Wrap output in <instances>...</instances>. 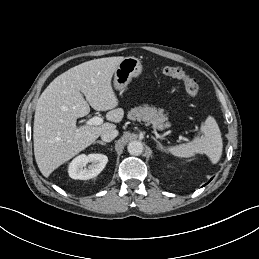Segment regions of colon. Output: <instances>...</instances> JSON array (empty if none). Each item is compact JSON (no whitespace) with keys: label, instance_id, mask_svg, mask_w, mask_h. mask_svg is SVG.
Returning <instances> with one entry per match:
<instances>
[{"label":"colon","instance_id":"obj_1","mask_svg":"<svg viewBox=\"0 0 259 259\" xmlns=\"http://www.w3.org/2000/svg\"><path fill=\"white\" fill-rule=\"evenodd\" d=\"M163 75L180 80L183 83L187 95L191 99H196L199 94V86L196 80L186 73L183 69L172 66H164L161 68Z\"/></svg>","mask_w":259,"mask_h":259}]
</instances>
